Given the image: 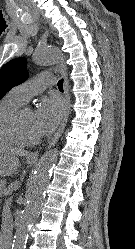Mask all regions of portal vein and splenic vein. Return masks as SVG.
I'll return each instance as SVG.
<instances>
[{"instance_id":"1","label":"portal vein and splenic vein","mask_w":135,"mask_h":249,"mask_svg":"<svg viewBox=\"0 0 135 249\" xmlns=\"http://www.w3.org/2000/svg\"><path fill=\"white\" fill-rule=\"evenodd\" d=\"M9 201L12 202L13 201V196L9 197Z\"/></svg>"}]
</instances>
